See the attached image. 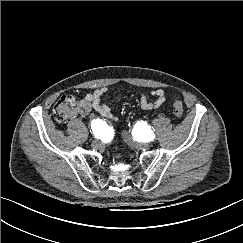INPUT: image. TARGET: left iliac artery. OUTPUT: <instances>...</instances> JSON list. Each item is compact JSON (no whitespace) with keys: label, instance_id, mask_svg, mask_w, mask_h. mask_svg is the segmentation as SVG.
<instances>
[{"label":"left iliac artery","instance_id":"44dca946","mask_svg":"<svg viewBox=\"0 0 243 243\" xmlns=\"http://www.w3.org/2000/svg\"><path fill=\"white\" fill-rule=\"evenodd\" d=\"M133 136L136 138V139H140V138H142L144 135H142V137L141 136H139V133H137V131H136V128H134L133 129ZM145 138H147L149 141L150 140H154L155 139V135L153 134V133H148L147 134V136L145 135Z\"/></svg>","mask_w":243,"mask_h":243}]
</instances>
